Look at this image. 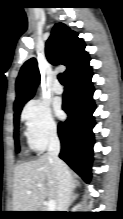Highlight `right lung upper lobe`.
<instances>
[{
    "label": "right lung upper lobe",
    "instance_id": "cb5924a9",
    "mask_svg": "<svg viewBox=\"0 0 123 219\" xmlns=\"http://www.w3.org/2000/svg\"><path fill=\"white\" fill-rule=\"evenodd\" d=\"M45 53L51 64L61 63L67 67L66 77L89 60L83 40L78 38V33L70 30L63 23H56L53 27L51 36L46 43ZM39 80L37 61L35 58H31L23 64L16 80L14 111L21 109L34 96Z\"/></svg>",
    "mask_w": 123,
    "mask_h": 219
}]
</instances>
